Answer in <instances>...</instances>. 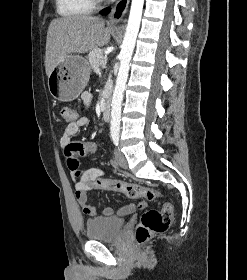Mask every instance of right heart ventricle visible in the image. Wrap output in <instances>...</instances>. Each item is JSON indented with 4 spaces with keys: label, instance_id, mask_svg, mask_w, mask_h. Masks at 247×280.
<instances>
[{
    "label": "right heart ventricle",
    "instance_id": "right-heart-ventricle-1",
    "mask_svg": "<svg viewBox=\"0 0 247 280\" xmlns=\"http://www.w3.org/2000/svg\"><path fill=\"white\" fill-rule=\"evenodd\" d=\"M57 12L63 17L86 15L94 9L93 0H56Z\"/></svg>",
    "mask_w": 247,
    "mask_h": 280
}]
</instances>
